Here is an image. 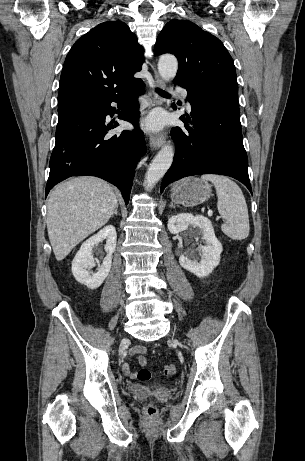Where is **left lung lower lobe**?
<instances>
[{
  "instance_id": "obj_1",
  "label": "left lung lower lobe",
  "mask_w": 305,
  "mask_h": 461,
  "mask_svg": "<svg viewBox=\"0 0 305 461\" xmlns=\"http://www.w3.org/2000/svg\"><path fill=\"white\" fill-rule=\"evenodd\" d=\"M185 89L192 108L191 117L181 116L185 128L174 127L171 131L176 151L173 164L163 178L161 192L173 181L206 173L231 176L252 194L238 91L232 88Z\"/></svg>"
}]
</instances>
